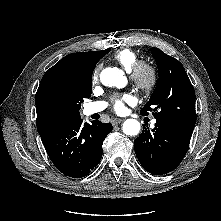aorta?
I'll return each instance as SVG.
<instances>
[{"mask_svg": "<svg viewBox=\"0 0 221 221\" xmlns=\"http://www.w3.org/2000/svg\"><path fill=\"white\" fill-rule=\"evenodd\" d=\"M100 81L108 87L122 88L126 84V78L123 72L117 68H105L100 73ZM140 123L135 119H127L124 121L122 130L126 135H137L140 132Z\"/></svg>", "mask_w": 221, "mask_h": 221, "instance_id": "762f6f07", "label": "aorta"}]
</instances>
